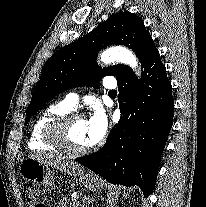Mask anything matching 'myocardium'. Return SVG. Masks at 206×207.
Segmentation results:
<instances>
[{"label": "myocardium", "instance_id": "myocardium-1", "mask_svg": "<svg viewBox=\"0 0 206 207\" xmlns=\"http://www.w3.org/2000/svg\"><path fill=\"white\" fill-rule=\"evenodd\" d=\"M76 120L86 119L83 114L72 111L59 115L48 123L44 133L45 139L50 145L55 147L58 151L72 157H80L93 150L92 146L83 149H74L68 144L65 137V130Z\"/></svg>", "mask_w": 206, "mask_h": 207}]
</instances>
